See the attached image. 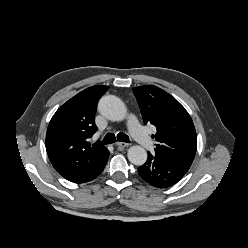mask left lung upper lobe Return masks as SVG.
<instances>
[{"label": "left lung upper lobe", "mask_w": 248, "mask_h": 248, "mask_svg": "<svg viewBox=\"0 0 248 248\" xmlns=\"http://www.w3.org/2000/svg\"><path fill=\"white\" fill-rule=\"evenodd\" d=\"M144 123L157 129L155 156L190 167L197 150L194 124L185 108L170 94L153 86L134 87Z\"/></svg>", "instance_id": "left-lung-upper-lobe-1"}]
</instances>
